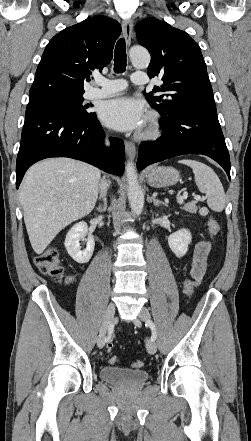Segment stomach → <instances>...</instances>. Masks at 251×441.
<instances>
[{
  "label": "stomach",
  "instance_id": "1",
  "mask_svg": "<svg viewBox=\"0 0 251 441\" xmlns=\"http://www.w3.org/2000/svg\"><path fill=\"white\" fill-rule=\"evenodd\" d=\"M180 179L179 172L173 167H154L147 175L151 187L162 188L175 185Z\"/></svg>",
  "mask_w": 251,
  "mask_h": 441
}]
</instances>
